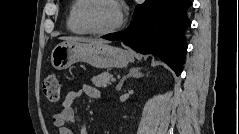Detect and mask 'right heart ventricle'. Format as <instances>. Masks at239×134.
I'll list each match as a JSON object with an SVG mask.
<instances>
[{
  "instance_id": "obj_1",
  "label": "right heart ventricle",
  "mask_w": 239,
  "mask_h": 134,
  "mask_svg": "<svg viewBox=\"0 0 239 134\" xmlns=\"http://www.w3.org/2000/svg\"><path fill=\"white\" fill-rule=\"evenodd\" d=\"M83 2L84 0H75L71 3L69 9L67 17V27L74 34L83 35L87 33L78 20L79 9Z\"/></svg>"
}]
</instances>
